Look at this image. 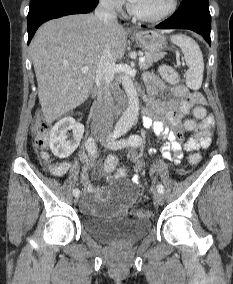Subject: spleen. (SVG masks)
Masks as SVG:
<instances>
[{
	"label": "spleen",
	"mask_w": 233,
	"mask_h": 284,
	"mask_svg": "<svg viewBox=\"0 0 233 284\" xmlns=\"http://www.w3.org/2000/svg\"><path fill=\"white\" fill-rule=\"evenodd\" d=\"M171 41L180 47L188 66L186 85L193 90L200 89L203 81V55L198 44L186 35L171 36Z\"/></svg>",
	"instance_id": "obj_1"
}]
</instances>
